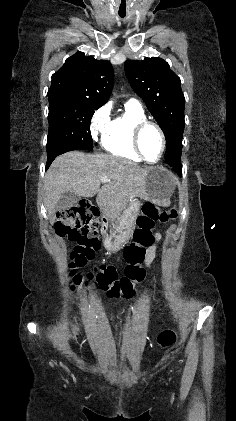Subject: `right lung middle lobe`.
Returning a JSON list of instances; mask_svg holds the SVG:
<instances>
[{"label": "right lung middle lobe", "mask_w": 236, "mask_h": 421, "mask_svg": "<svg viewBox=\"0 0 236 421\" xmlns=\"http://www.w3.org/2000/svg\"><path fill=\"white\" fill-rule=\"evenodd\" d=\"M103 104L65 96L49 97L47 156L63 149L91 150L90 121Z\"/></svg>", "instance_id": "dd1d6c3e"}]
</instances>
